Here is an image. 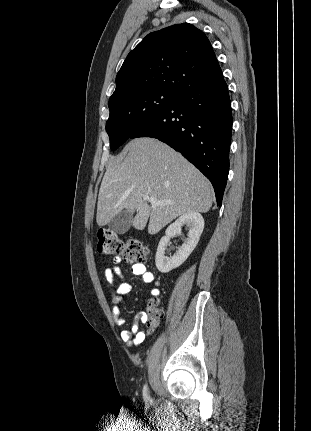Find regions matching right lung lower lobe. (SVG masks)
<instances>
[{"label":"right lung lower lobe","instance_id":"1","mask_svg":"<svg viewBox=\"0 0 311 431\" xmlns=\"http://www.w3.org/2000/svg\"><path fill=\"white\" fill-rule=\"evenodd\" d=\"M231 132V101L221 73L181 92L130 138H157L180 152L211 181L221 206Z\"/></svg>","mask_w":311,"mask_h":431}]
</instances>
